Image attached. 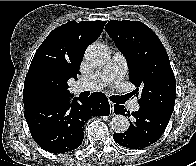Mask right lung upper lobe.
I'll return each mask as SVG.
<instances>
[{
  "mask_svg": "<svg viewBox=\"0 0 196 166\" xmlns=\"http://www.w3.org/2000/svg\"><path fill=\"white\" fill-rule=\"evenodd\" d=\"M105 23L69 21L51 31L36 51L25 78V110L70 96L67 81L77 79L85 50L100 36Z\"/></svg>",
  "mask_w": 196,
  "mask_h": 166,
  "instance_id": "right-lung-upper-lobe-1",
  "label": "right lung upper lobe"
}]
</instances>
